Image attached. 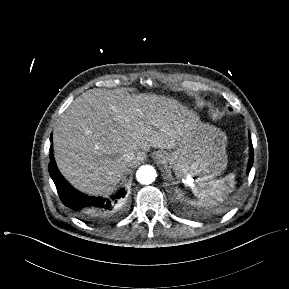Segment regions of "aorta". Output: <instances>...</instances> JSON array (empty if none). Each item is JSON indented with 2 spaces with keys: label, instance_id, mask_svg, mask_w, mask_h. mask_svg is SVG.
Here are the masks:
<instances>
[{
  "label": "aorta",
  "instance_id": "1",
  "mask_svg": "<svg viewBox=\"0 0 289 289\" xmlns=\"http://www.w3.org/2000/svg\"><path fill=\"white\" fill-rule=\"evenodd\" d=\"M156 176L155 169L150 165L141 166L136 172L137 181L141 184H151Z\"/></svg>",
  "mask_w": 289,
  "mask_h": 289
}]
</instances>
